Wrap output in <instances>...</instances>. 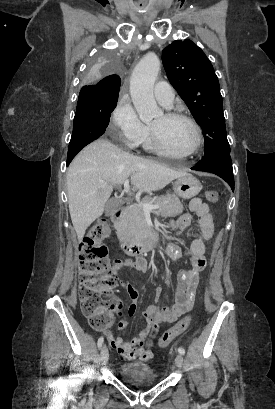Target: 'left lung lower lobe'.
Masks as SVG:
<instances>
[{"label": "left lung lower lobe", "instance_id": "left-lung-lower-lobe-1", "mask_svg": "<svg viewBox=\"0 0 275 409\" xmlns=\"http://www.w3.org/2000/svg\"><path fill=\"white\" fill-rule=\"evenodd\" d=\"M197 171L211 172L220 176L234 191V177L230 150H220L210 156H205L196 166L191 168Z\"/></svg>", "mask_w": 275, "mask_h": 409}]
</instances>
